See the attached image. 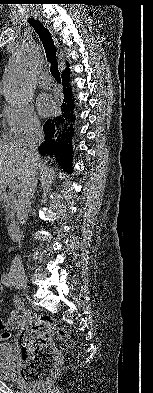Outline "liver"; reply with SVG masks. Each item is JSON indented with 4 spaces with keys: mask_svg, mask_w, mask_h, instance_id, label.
I'll return each mask as SVG.
<instances>
[{
    "mask_svg": "<svg viewBox=\"0 0 153 393\" xmlns=\"http://www.w3.org/2000/svg\"><path fill=\"white\" fill-rule=\"evenodd\" d=\"M39 162L38 153L32 152L23 139L0 143V193L16 177L22 184Z\"/></svg>",
    "mask_w": 153,
    "mask_h": 393,
    "instance_id": "6515ba94",
    "label": "liver"
}]
</instances>
